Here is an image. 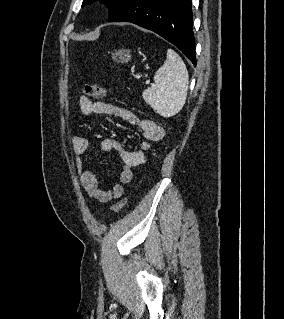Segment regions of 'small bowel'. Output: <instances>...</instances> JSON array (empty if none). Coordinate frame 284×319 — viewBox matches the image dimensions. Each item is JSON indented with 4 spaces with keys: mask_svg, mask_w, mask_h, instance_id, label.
<instances>
[{
    "mask_svg": "<svg viewBox=\"0 0 284 319\" xmlns=\"http://www.w3.org/2000/svg\"><path fill=\"white\" fill-rule=\"evenodd\" d=\"M81 112L85 115H109L120 118L130 124L138 125L145 138L138 149L128 148L123 143L114 139H105L101 147L106 152H116L122 161L120 172V183L114 184L110 189L104 190L99 183L97 173L86 168L82 164V155L89 148V140L82 134L76 133L72 137L75 163L80 177V182L89 197L102 203H107L113 199H118L123 195V184H128L134 177V169L145 162V152L150 147L151 142H158L165 136V130L150 118H141L136 113L105 102H94L87 97L79 100Z\"/></svg>",
    "mask_w": 284,
    "mask_h": 319,
    "instance_id": "obj_1",
    "label": "small bowel"
}]
</instances>
